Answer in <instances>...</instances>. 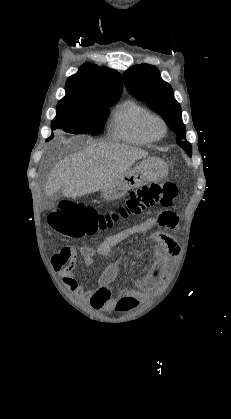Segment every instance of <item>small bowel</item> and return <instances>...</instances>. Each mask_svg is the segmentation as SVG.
Returning <instances> with one entry per match:
<instances>
[{
	"instance_id": "obj_1",
	"label": "small bowel",
	"mask_w": 231,
	"mask_h": 419,
	"mask_svg": "<svg viewBox=\"0 0 231 419\" xmlns=\"http://www.w3.org/2000/svg\"><path fill=\"white\" fill-rule=\"evenodd\" d=\"M163 222V231L152 234L150 239L155 244V261L147 274L134 283V288L119 289L115 295L109 290L117 277V265L109 263L101 274L97 284L86 289L79 283L75 276L77 257L80 255L85 265L90 266L94 262V256L108 257L113 247L124 241L130 235L151 230ZM179 225L177 213L164 211L157 217H151L118 233L106 237L99 246L94 249L89 246H82L78 250L72 247H65L61 250L64 262L61 264L58 259L52 258V266L60 272L62 283L73 293L87 301L93 310L109 311L115 307L123 296H130L134 299H143L151 291L163 284L170 271V262L180 252L179 243L173 235L166 232H175Z\"/></svg>"
}]
</instances>
